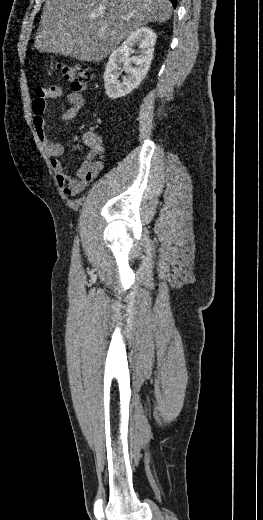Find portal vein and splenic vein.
Listing matches in <instances>:
<instances>
[{
	"mask_svg": "<svg viewBox=\"0 0 263 520\" xmlns=\"http://www.w3.org/2000/svg\"><path fill=\"white\" fill-rule=\"evenodd\" d=\"M90 17H91V18H94V17H98V15H91Z\"/></svg>",
	"mask_w": 263,
	"mask_h": 520,
	"instance_id": "obj_1",
	"label": "portal vein and splenic vein"
}]
</instances>
